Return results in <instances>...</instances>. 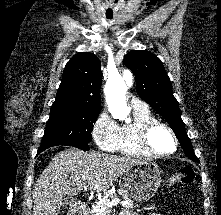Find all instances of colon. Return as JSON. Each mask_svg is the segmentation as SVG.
<instances>
[{"mask_svg":"<svg viewBox=\"0 0 221 215\" xmlns=\"http://www.w3.org/2000/svg\"><path fill=\"white\" fill-rule=\"evenodd\" d=\"M198 180V173L191 166H185L181 168L178 173L172 178V183H181L184 185H190L196 183Z\"/></svg>","mask_w":221,"mask_h":215,"instance_id":"colon-1","label":"colon"}]
</instances>
